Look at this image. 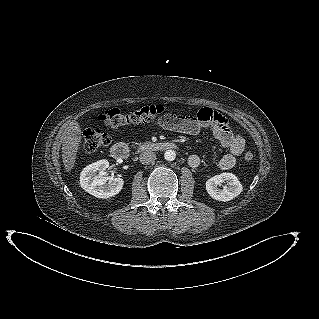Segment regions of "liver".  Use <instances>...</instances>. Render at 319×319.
Returning <instances> with one entry per match:
<instances>
[{"label": "liver", "instance_id": "liver-1", "mask_svg": "<svg viewBox=\"0 0 319 319\" xmlns=\"http://www.w3.org/2000/svg\"><path fill=\"white\" fill-rule=\"evenodd\" d=\"M62 160L64 168L70 172L75 166L77 151L81 142V128L77 122H72L65 129L62 137Z\"/></svg>", "mask_w": 319, "mask_h": 319}]
</instances>
